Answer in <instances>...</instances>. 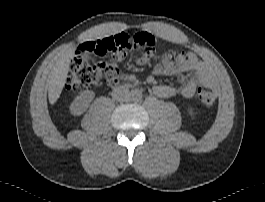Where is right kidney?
<instances>
[{
	"label": "right kidney",
	"mask_w": 265,
	"mask_h": 202,
	"mask_svg": "<svg viewBox=\"0 0 265 202\" xmlns=\"http://www.w3.org/2000/svg\"><path fill=\"white\" fill-rule=\"evenodd\" d=\"M95 93L93 91H84L77 96L70 105V112L74 116L82 115L89 107L91 101L94 99Z\"/></svg>",
	"instance_id": "obj_1"
}]
</instances>
